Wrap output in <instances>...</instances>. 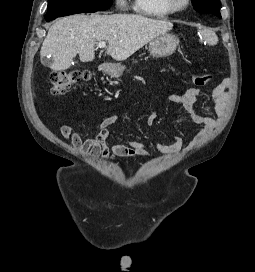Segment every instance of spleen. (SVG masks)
I'll return each instance as SVG.
<instances>
[{"label":"spleen","mask_w":255,"mask_h":272,"mask_svg":"<svg viewBox=\"0 0 255 272\" xmlns=\"http://www.w3.org/2000/svg\"><path fill=\"white\" fill-rule=\"evenodd\" d=\"M199 32L203 36V40L207 42L209 45H216L218 43V37L214 31L210 29H202L199 30Z\"/></svg>","instance_id":"3e777b00"}]
</instances>
